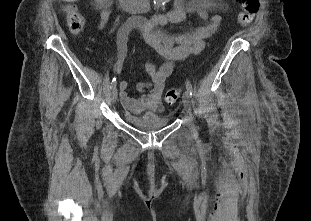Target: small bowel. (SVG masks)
<instances>
[{
    "mask_svg": "<svg viewBox=\"0 0 311 221\" xmlns=\"http://www.w3.org/2000/svg\"><path fill=\"white\" fill-rule=\"evenodd\" d=\"M103 3V8L99 15L100 30L104 29L110 17L113 0H103ZM192 12L197 13L203 21L202 25L193 30L170 35L156 29L158 25L166 23H184L187 21L189 13ZM143 21L147 22L145 26L139 28L143 39L165 61L158 66L151 62L144 64L145 72L150 77V80H144L137 84L138 91L143 93L137 98L129 96L126 81L119 82L121 101L134 114H141L145 111L159 112L162 110V95L165 83L174 70L175 62L200 54L205 48V38L212 35L220 26L221 17L218 15L209 17L206 11L196 4L195 0H175V6L172 10ZM132 29L136 28L127 24L118 34L117 68L125 61L127 37Z\"/></svg>",
    "mask_w": 311,
    "mask_h": 221,
    "instance_id": "1",
    "label": "small bowel"
}]
</instances>
